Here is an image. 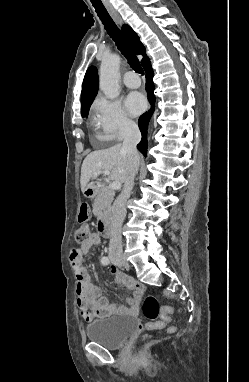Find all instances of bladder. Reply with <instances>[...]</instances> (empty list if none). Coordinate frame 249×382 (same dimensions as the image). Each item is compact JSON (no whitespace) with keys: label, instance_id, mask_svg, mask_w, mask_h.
<instances>
[{"label":"bladder","instance_id":"obj_1","mask_svg":"<svg viewBox=\"0 0 249 382\" xmlns=\"http://www.w3.org/2000/svg\"><path fill=\"white\" fill-rule=\"evenodd\" d=\"M137 325V319L130 315H114L93 320L85 328V335L91 342L107 349L120 348L130 337Z\"/></svg>","mask_w":249,"mask_h":382}]
</instances>
